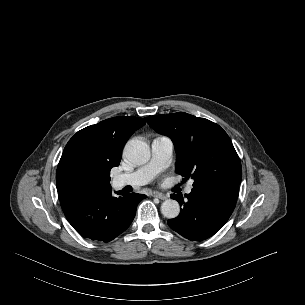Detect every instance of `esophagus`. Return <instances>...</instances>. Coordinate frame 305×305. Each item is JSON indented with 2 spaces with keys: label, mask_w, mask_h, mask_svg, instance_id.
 <instances>
[{
  "label": "esophagus",
  "mask_w": 305,
  "mask_h": 305,
  "mask_svg": "<svg viewBox=\"0 0 305 305\" xmlns=\"http://www.w3.org/2000/svg\"><path fill=\"white\" fill-rule=\"evenodd\" d=\"M153 196L161 200H166L168 198V196L163 193H154Z\"/></svg>",
  "instance_id": "34e87169"
}]
</instances>
